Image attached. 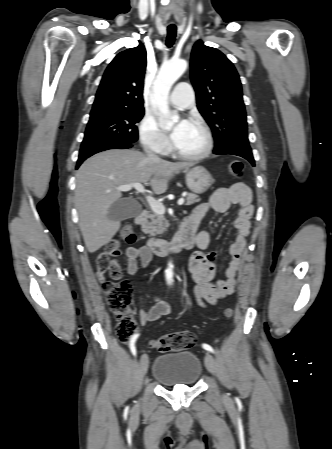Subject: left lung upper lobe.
I'll return each instance as SVG.
<instances>
[{
  "mask_svg": "<svg viewBox=\"0 0 332 449\" xmlns=\"http://www.w3.org/2000/svg\"><path fill=\"white\" fill-rule=\"evenodd\" d=\"M190 66L197 107L212 130L214 150L250 147L241 82L233 63L199 40L193 46Z\"/></svg>",
  "mask_w": 332,
  "mask_h": 449,
  "instance_id": "left-lung-upper-lobe-1",
  "label": "left lung upper lobe"
}]
</instances>
